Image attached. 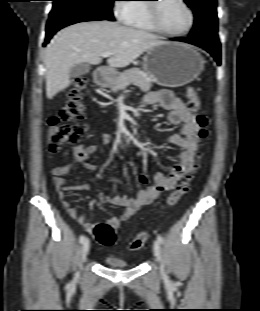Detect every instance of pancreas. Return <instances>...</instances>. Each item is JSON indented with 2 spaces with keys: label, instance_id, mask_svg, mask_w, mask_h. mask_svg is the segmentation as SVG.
<instances>
[{
  "label": "pancreas",
  "instance_id": "pancreas-1",
  "mask_svg": "<svg viewBox=\"0 0 260 311\" xmlns=\"http://www.w3.org/2000/svg\"><path fill=\"white\" fill-rule=\"evenodd\" d=\"M130 84L138 86L143 92H148L152 87V80L148 79L140 69L131 68L120 73L112 81L111 91L116 93Z\"/></svg>",
  "mask_w": 260,
  "mask_h": 311
}]
</instances>
